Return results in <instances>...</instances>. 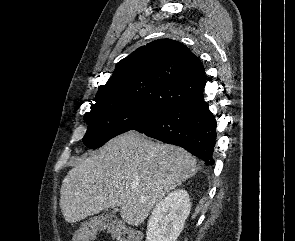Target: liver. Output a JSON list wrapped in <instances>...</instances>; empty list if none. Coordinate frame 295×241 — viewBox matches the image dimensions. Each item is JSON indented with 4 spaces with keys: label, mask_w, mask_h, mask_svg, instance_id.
Segmentation results:
<instances>
[{
    "label": "liver",
    "mask_w": 295,
    "mask_h": 241,
    "mask_svg": "<svg viewBox=\"0 0 295 241\" xmlns=\"http://www.w3.org/2000/svg\"><path fill=\"white\" fill-rule=\"evenodd\" d=\"M196 171V159L183 148L129 132L68 172L60 190V208L65 221L75 223L119 206L122 219L138 226L155 204Z\"/></svg>",
    "instance_id": "liver-1"
}]
</instances>
